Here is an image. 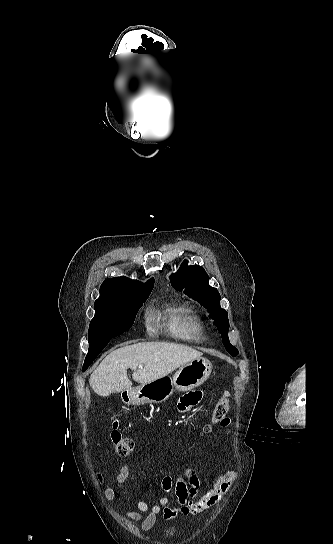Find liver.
I'll list each match as a JSON object with an SVG mask.
<instances>
[{"mask_svg":"<svg viewBox=\"0 0 333 544\" xmlns=\"http://www.w3.org/2000/svg\"><path fill=\"white\" fill-rule=\"evenodd\" d=\"M202 352L169 342H141L122 346L108 354L90 376V386L100 396L129 390L133 379L145 384L164 377L184 364L201 358ZM139 365L144 368L137 369Z\"/></svg>","mask_w":333,"mask_h":544,"instance_id":"1","label":"liver"}]
</instances>
